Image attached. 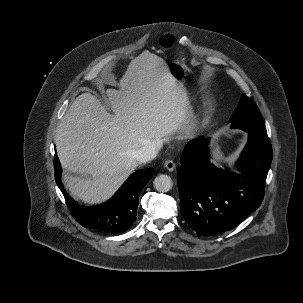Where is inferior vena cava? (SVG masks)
Returning a JSON list of instances; mask_svg holds the SVG:
<instances>
[{
    "label": "inferior vena cava",
    "mask_w": 303,
    "mask_h": 303,
    "mask_svg": "<svg viewBox=\"0 0 303 303\" xmlns=\"http://www.w3.org/2000/svg\"><path fill=\"white\" fill-rule=\"evenodd\" d=\"M162 143L157 140L149 141L142 148L134 153V158L138 163H146L157 156Z\"/></svg>",
    "instance_id": "1"
}]
</instances>
